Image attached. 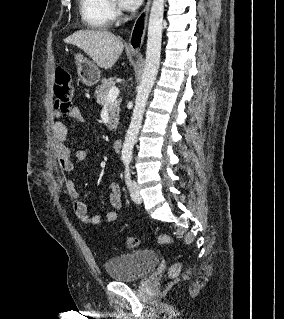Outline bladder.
<instances>
[{"label": "bladder", "mask_w": 284, "mask_h": 319, "mask_svg": "<svg viewBox=\"0 0 284 319\" xmlns=\"http://www.w3.org/2000/svg\"><path fill=\"white\" fill-rule=\"evenodd\" d=\"M159 255L151 249H142L109 259L105 270L110 279L119 282L137 281L159 263Z\"/></svg>", "instance_id": "1"}]
</instances>
